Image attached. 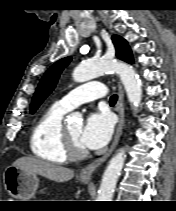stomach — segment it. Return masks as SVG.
Listing matches in <instances>:
<instances>
[{"mask_svg": "<svg viewBox=\"0 0 176 211\" xmlns=\"http://www.w3.org/2000/svg\"><path fill=\"white\" fill-rule=\"evenodd\" d=\"M3 181L8 193L18 201H30L35 196L38 188L39 178L37 174L25 172L17 167L9 166L6 168ZM87 183L88 180L82 179Z\"/></svg>", "mask_w": 176, "mask_h": 211, "instance_id": "stomach-1", "label": "stomach"}]
</instances>
